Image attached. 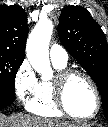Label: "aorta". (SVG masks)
<instances>
[{
	"mask_svg": "<svg viewBox=\"0 0 108 127\" xmlns=\"http://www.w3.org/2000/svg\"><path fill=\"white\" fill-rule=\"evenodd\" d=\"M52 32V21L40 20L31 31L26 44L28 61L41 75L42 80H49L53 76L49 60V42Z\"/></svg>",
	"mask_w": 108,
	"mask_h": 127,
	"instance_id": "obj_1",
	"label": "aorta"
}]
</instances>
